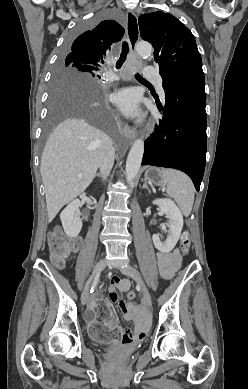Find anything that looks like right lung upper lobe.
Returning <instances> with one entry per match:
<instances>
[{"label":"right lung upper lobe","instance_id":"right-lung-upper-lobe-1","mask_svg":"<svg viewBox=\"0 0 248 389\" xmlns=\"http://www.w3.org/2000/svg\"><path fill=\"white\" fill-rule=\"evenodd\" d=\"M124 28L114 20L100 22L95 28L78 36L68 48L63 64L71 67H87L95 72L99 70L103 57L113 43L122 39Z\"/></svg>","mask_w":248,"mask_h":389}]
</instances>
